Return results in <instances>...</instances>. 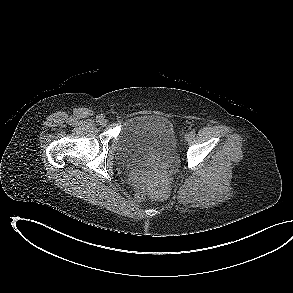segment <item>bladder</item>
I'll list each match as a JSON object with an SVG mask.
<instances>
[{
	"instance_id": "31cf9c89",
	"label": "bladder",
	"mask_w": 293,
	"mask_h": 293,
	"mask_svg": "<svg viewBox=\"0 0 293 293\" xmlns=\"http://www.w3.org/2000/svg\"><path fill=\"white\" fill-rule=\"evenodd\" d=\"M178 138L172 122L160 115H136L120 130L115 157L125 166L161 167L176 154Z\"/></svg>"
}]
</instances>
